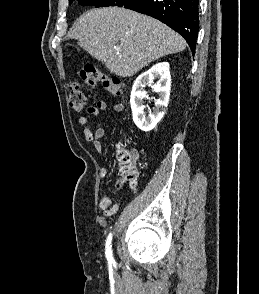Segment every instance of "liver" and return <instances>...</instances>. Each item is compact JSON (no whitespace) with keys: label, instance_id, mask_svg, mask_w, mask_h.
Masks as SVG:
<instances>
[{"label":"liver","instance_id":"6515ba94","mask_svg":"<svg viewBox=\"0 0 259 294\" xmlns=\"http://www.w3.org/2000/svg\"><path fill=\"white\" fill-rule=\"evenodd\" d=\"M69 38L120 77H130L154 60L183 51L185 40L160 21L118 7L83 13ZM116 48H120L117 51Z\"/></svg>","mask_w":259,"mask_h":294}]
</instances>
